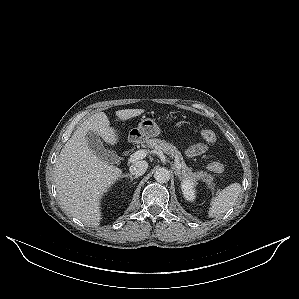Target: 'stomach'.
Listing matches in <instances>:
<instances>
[{
	"label": "stomach",
	"instance_id": "obj_1",
	"mask_svg": "<svg viewBox=\"0 0 299 299\" xmlns=\"http://www.w3.org/2000/svg\"><path fill=\"white\" fill-rule=\"evenodd\" d=\"M161 133V129L155 119L143 118L137 128L129 131L128 140L136 143H143L149 138L157 137Z\"/></svg>",
	"mask_w": 299,
	"mask_h": 299
}]
</instances>
